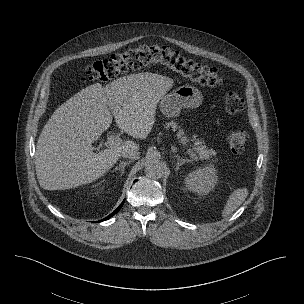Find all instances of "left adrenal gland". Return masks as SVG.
<instances>
[{
  "label": "left adrenal gland",
  "mask_w": 304,
  "mask_h": 304,
  "mask_svg": "<svg viewBox=\"0 0 304 304\" xmlns=\"http://www.w3.org/2000/svg\"><path fill=\"white\" fill-rule=\"evenodd\" d=\"M175 158H177V163H176V171L179 169L180 166H182L185 162H189V159H184L181 158L179 155H174Z\"/></svg>",
  "instance_id": "left-adrenal-gland-1"
}]
</instances>
